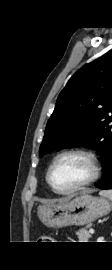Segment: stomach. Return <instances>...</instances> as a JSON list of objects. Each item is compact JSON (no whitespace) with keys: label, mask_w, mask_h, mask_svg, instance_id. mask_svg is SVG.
<instances>
[{"label":"stomach","mask_w":112,"mask_h":270,"mask_svg":"<svg viewBox=\"0 0 112 270\" xmlns=\"http://www.w3.org/2000/svg\"><path fill=\"white\" fill-rule=\"evenodd\" d=\"M111 209L112 204L106 198L82 194L69 201L40 205L37 214L46 226L60 228L87 225Z\"/></svg>","instance_id":"1"}]
</instances>
